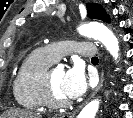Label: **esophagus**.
Returning <instances> with one entry per match:
<instances>
[{"label":"esophagus","instance_id":"1","mask_svg":"<svg viewBox=\"0 0 133 118\" xmlns=\"http://www.w3.org/2000/svg\"><path fill=\"white\" fill-rule=\"evenodd\" d=\"M103 81H104V72L102 71V72H101V75H100V80H99L98 86L94 89V91L92 92V94L90 95V97L86 100V102H87L89 99H91V98L100 90V88L102 87ZM86 102H85V103H86ZM85 103H84V104H85ZM84 104H82V105L79 107V109L82 108V106H83ZM79 109H77V110H75V111H72V112L63 113V114L60 115V118H74Z\"/></svg>","mask_w":133,"mask_h":118}]
</instances>
